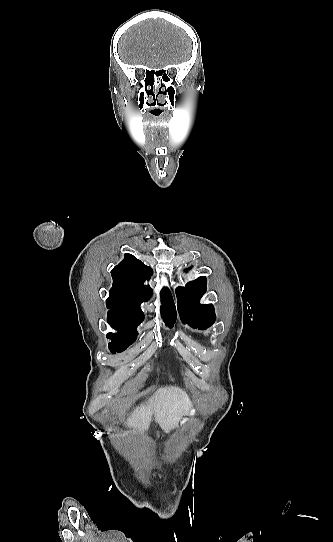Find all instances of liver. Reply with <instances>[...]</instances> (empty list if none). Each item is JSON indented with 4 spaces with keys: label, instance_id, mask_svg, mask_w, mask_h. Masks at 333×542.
<instances>
[{
    "label": "liver",
    "instance_id": "obj_1",
    "mask_svg": "<svg viewBox=\"0 0 333 542\" xmlns=\"http://www.w3.org/2000/svg\"><path fill=\"white\" fill-rule=\"evenodd\" d=\"M189 408H191V400L186 392L180 388H174V386L160 388L150 400V404L148 406L141 404L140 408L133 412L131 418H128L126 424L128 428L144 432L154 414L155 422L168 434L170 430L176 428L179 420L187 414Z\"/></svg>",
    "mask_w": 333,
    "mask_h": 542
}]
</instances>
